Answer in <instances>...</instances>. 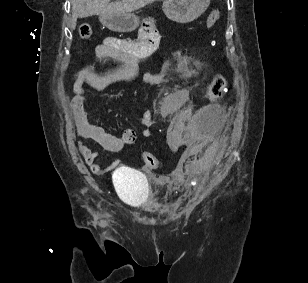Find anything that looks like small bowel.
<instances>
[{"label":"small bowel","instance_id":"c3829d8e","mask_svg":"<svg viewBox=\"0 0 308 283\" xmlns=\"http://www.w3.org/2000/svg\"><path fill=\"white\" fill-rule=\"evenodd\" d=\"M160 35L156 30L154 21H146L139 30V40L136 42L125 41L114 37L106 38L95 48V55L98 58H109L116 61L119 65L107 71L98 73L93 67L80 69L73 79L74 97L71 100L73 118L77 133L80 139L77 141L79 153L85 163L95 174H105L114 169L118 160H113L107 165L97 163L99 150L94 148L82 139L91 140L100 148L109 152H119L126 145L134 143L136 132L127 128L121 135L116 136L107 132L101 126L92 123L86 109L87 92L85 85L97 91H103L113 84L131 81L140 75L139 63L142 59L151 55L158 47ZM143 80L150 84H159L162 77L157 74L144 73ZM188 98L186 91L180 90L168 94L159 103V114L165 118L178 111ZM152 111L146 110L140 117L141 135L148 137L151 135Z\"/></svg>","mask_w":308,"mask_h":283}]
</instances>
